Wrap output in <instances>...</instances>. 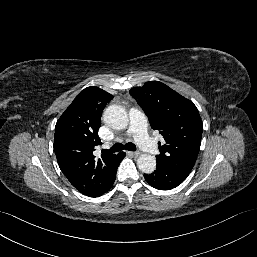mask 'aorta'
Instances as JSON below:
<instances>
[{"label": "aorta", "instance_id": "1", "mask_svg": "<svg viewBox=\"0 0 257 257\" xmlns=\"http://www.w3.org/2000/svg\"><path fill=\"white\" fill-rule=\"evenodd\" d=\"M105 124L113 129L121 130L128 126L127 111L119 105H111L107 107L103 114ZM137 166L144 173H152L156 168V159L150 154H142L137 160Z\"/></svg>", "mask_w": 257, "mask_h": 257}]
</instances>
